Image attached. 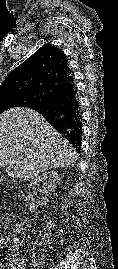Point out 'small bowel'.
I'll use <instances>...</instances> for the list:
<instances>
[{"instance_id": "obj_1", "label": "small bowel", "mask_w": 118, "mask_h": 269, "mask_svg": "<svg viewBox=\"0 0 118 269\" xmlns=\"http://www.w3.org/2000/svg\"><path fill=\"white\" fill-rule=\"evenodd\" d=\"M11 269H23V268L20 264H16Z\"/></svg>"}]
</instances>
